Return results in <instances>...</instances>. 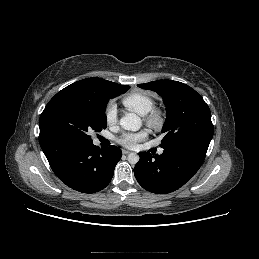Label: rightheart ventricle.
Returning a JSON list of instances; mask_svg holds the SVG:
<instances>
[{
	"label": "right heart ventricle",
	"instance_id": "obj_1",
	"mask_svg": "<svg viewBox=\"0 0 259 259\" xmlns=\"http://www.w3.org/2000/svg\"><path fill=\"white\" fill-rule=\"evenodd\" d=\"M123 104L131 111L146 115L154 107V100L146 93L134 92L123 98Z\"/></svg>",
	"mask_w": 259,
	"mask_h": 259
}]
</instances>
